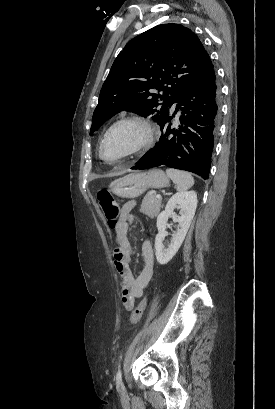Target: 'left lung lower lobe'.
Wrapping results in <instances>:
<instances>
[{"instance_id": "1", "label": "left lung lower lobe", "mask_w": 275, "mask_h": 409, "mask_svg": "<svg viewBox=\"0 0 275 409\" xmlns=\"http://www.w3.org/2000/svg\"><path fill=\"white\" fill-rule=\"evenodd\" d=\"M175 103L160 124L159 142L131 169L165 165L193 172L206 180L220 120V87L214 67L190 83ZM179 109L181 125L172 128L171 120Z\"/></svg>"}]
</instances>
